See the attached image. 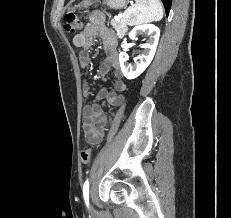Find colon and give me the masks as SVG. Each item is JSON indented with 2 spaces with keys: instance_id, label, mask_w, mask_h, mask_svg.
Here are the masks:
<instances>
[{
  "instance_id": "colon-1",
  "label": "colon",
  "mask_w": 231,
  "mask_h": 218,
  "mask_svg": "<svg viewBox=\"0 0 231 218\" xmlns=\"http://www.w3.org/2000/svg\"><path fill=\"white\" fill-rule=\"evenodd\" d=\"M81 27V21L79 20V18L73 14V13H68L65 15L64 17V28L65 31L69 34H74L77 32V30ZM91 149L87 148L84 149L81 152V161L84 164L89 163L90 159H91Z\"/></svg>"
}]
</instances>
